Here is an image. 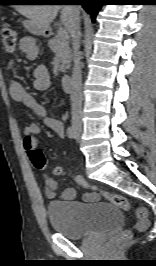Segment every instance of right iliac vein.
<instances>
[{
    "label": "right iliac vein",
    "instance_id": "1",
    "mask_svg": "<svg viewBox=\"0 0 156 266\" xmlns=\"http://www.w3.org/2000/svg\"><path fill=\"white\" fill-rule=\"evenodd\" d=\"M73 126H74L76 132H78V133L81 132V123H80V122H78V121H74V122H73Z\"/></svg>",
    "mask_w": 156,
    "mask_h": 266
}]
</instances>
